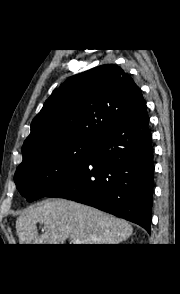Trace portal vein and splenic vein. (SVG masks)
I'll return each instance as SVG.
<instances>
[{"mask_svg":"<svg viewBox=\"0 0 180 294\" xmlns=\"http://www.w3.org/2000/svg\"><path fill=\"white\" fill-rule=\"evenodd\" d=\"M73 244H82V241L80 239H72Z\"/></svg>","mask_w":180,"mask_h":294,"instance_id":"18ae733b","label":"portal vein and splenic vein"}]
</instances>
